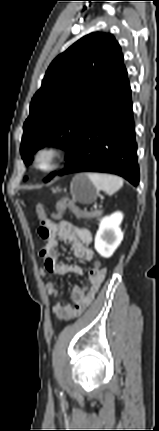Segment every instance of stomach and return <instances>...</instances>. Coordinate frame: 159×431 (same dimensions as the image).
Here are the masks:
<instances>
[{"label": "stomach", "instance_id": "0dacf381", "mask_svg": "<svg viewBox=\"0 0 159 431\" xmlns=\"http://www.w3.org/2000/svg\"><path fill=\"white\" fill-rule=\"evenodd\" d=\"M71 194L74 200L82 204H90L96 200L98 189L86 174H79L73 179Z\"/></svg>", "mask_w": 159, "mask_h": 431}]
</instances>
